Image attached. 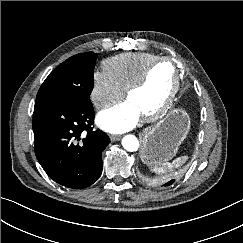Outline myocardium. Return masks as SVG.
<instances>
[{
	"label": "myocardium",
	"instance_id": "1",
	"mask_svg": "<svg viewBox=\"0 0 243 243\" xmlns=\"http://www.w3.org/2000/svg\"><path fill=\"white\" fill-rule=\"evenodd\" d=\"M164 61L170 62L173 64L174 70H175V76H174L172 87H171L168 95L164 99V101L154 110L143 114L145 119L150 120V121L156 120L160 116H162L172 105V103L176 97V94L180 87V69L178 67L177 61L174 58L169 57V56L156 57L154 60H152L150 63H148V65L144 68L142 73L132 83H130L128 85V87L125 89V96L128 98L132 92L141 88L146 83L153 67L156 64H158L160 62H164Z\"/></svg>",
	"mask_w": 243,
	"mask_h": 243
}]
</instances>
